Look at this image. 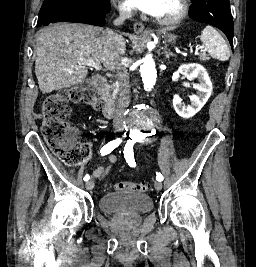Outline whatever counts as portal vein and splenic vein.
<instances>
[{"label":"portal vein and splenic vein","instance_id":"1","mask_svg":"<svg viewBox=\"0 0 256 267\" xmlns=\"http://www.w3.org/2000/svg\"><path fill=\"white\" fill-rule=\"evenodd\" d=\"M192 56H202L203 52L200 51V49L194 48L193 51L191 52ZM79 66H81V64H79ZM85 66H92V68H95V70H101L102 66L101 64H95V62H93V64H85ZM81 68H83V66H81Z\"/></svg>","mask_w":256,"mask_h":267}]
</instances>
